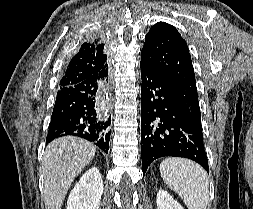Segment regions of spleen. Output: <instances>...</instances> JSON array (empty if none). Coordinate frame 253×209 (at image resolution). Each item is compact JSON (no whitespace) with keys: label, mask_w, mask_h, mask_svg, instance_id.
Returning <instances> with one entry per match:
<instances>
[{"label":"spleen","mask_w":253,"mask_h":209,"mask_svg":"<svg viewBox=\"0 0 253 209\" xmlns=\"http://www.w3.org/2000/svg\"><path fill=\"white\" fill-rule=\"evenodd\" d=\"M160 174L188 209H206L209 199L208 176L199 164L187 159L167 158L160 164Z\"/></svg>","instance_id":"1"}]
</instances>
